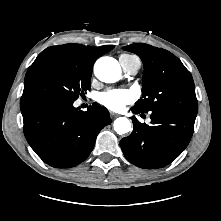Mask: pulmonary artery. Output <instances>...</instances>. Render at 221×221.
Returning a JSON list of instances; mask_svg holds the SVG:
<instances>
[{
    "mask_svg": "<svg viewBox=\"0 0 221 221\" xmlns=\"http://www.w3.org/2000/svg\"><path fill=\"white\" fill-rule=\"evenodd\" d=\"M119 63L123 69V71L129 75H135L141 66V62L137 57H127L121 55L119 57Z\"/></svg>",
    "mask_w": 221,
    "mask_h": 221,
    "instance_id": "obj_1",
    "label": "pulmonary artery"
}]
</instances>
